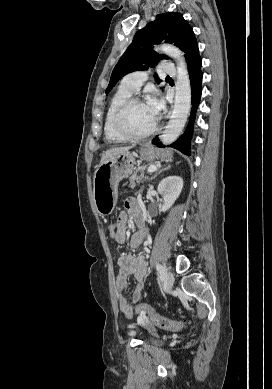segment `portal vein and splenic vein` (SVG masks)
Returning <instances> with one entry per match:
<instances>
[{
	"label": "portal vein and splenic vein",
	"mask_w": 272,
	"mask_h": 389,
	"mask_svg": "<svg viewBox=\"0 0 272 389\" xmlns=\"http://www.w3.org/2000/svg\"><path fill=\"white\" fill-rule=\"evenodd\" d=\"M157 170V167L155 166V165H151V166H149V168H148V172L149 173H152V172H154V171H156Z\"/></svg>",
	"instance_id": "obj_1"
}]
</instances>
